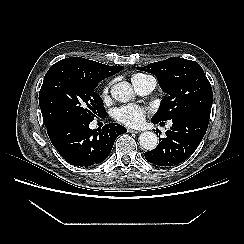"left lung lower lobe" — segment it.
<instances>
[{
  "mask_svg": "<svg viewBox=\"0 0 244 244\" xmlns=\"http://www.w3.org/2000/svg\"><path fill=\"white\" fill-rule=\"evenodd\" d=\"M171 120L172 127L165 132L164 138L159 137L158 146L145 152L150 163L174 166L185 161L200 144L209 122V118L193 113L178 115ZM152 122L157 124L161 121L152 119Z\"/></svg>",
  "mask_w": 244,
  "mask_h": 244,
  "instance_id": "0a47b994",
  "label": "left lung lower lobe"
}]
</instances>
